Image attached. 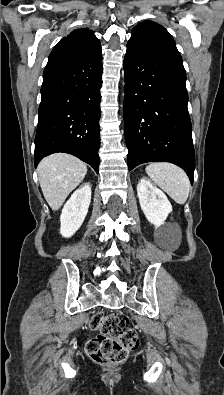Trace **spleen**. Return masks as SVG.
I'll list each match as a JSON object with an SVG mask.
<instances>
[{"label": "spleen", "instance_id": "obj_1", "mask_svg": "<svg viewBox=\"0 0 224 395\" xmlns=\"http://www.w3.org/2000/svg\"><path fill=\"white\" fill-rule=\"evenodd\" d=\"M145 170L154 183L176 203L186 202L190 191V181L180 167L171 163H151Z\"/></svg>", "mask_w": 224, "mask_h": 395}]
</instances>
